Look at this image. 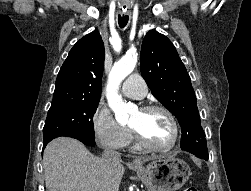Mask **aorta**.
<instances>
[{
  "instance_id": "obj_1",
  "label": "aorta",
  "mask_w": 251,
  "mask_h": 191,
  "mask_svg": "<svg viewBox=\"0 0 251 191\" xmlns=\"http://www.w3.org/2000/svg\"><path fill=\"white\" fill-rule=\"evenodd\" d=\"M136 64L137 54L135 52H128L126 56H123L119 62L114 64L109 74L108 101L117 121H127L129 113L135 109L133 103H126L121 96H118L117 90L121 82L133 72Z\"/></svg>"
}]
</instances>
